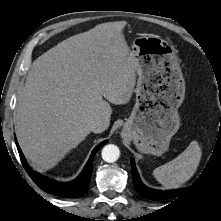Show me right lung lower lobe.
<instances>
[{
    "label": "right lung lower lobe",
    "mask_w": 221,
    "mask_h": 221,
    "mask_svg": "<svg viewBox=\"0 0 221 221\" xmlns=\"http://www.w3.org/2000/svg\"><path fill=\"white\" fill-rule=\"evenodd\" d=\"M108 141L105 140L104 142L100 143L93 151L92 154L82 171V173L79 175L77 179H75L72 182L62 183V182H56L47 178L42 177L40 174L34 172L26 163L25 158L17 145V149L21 158V161L23 163V166L29 176L32 178V180L45 192L57 195L64 198H77L81 194L85 192V190L88 188L90 183V177L93 170V158L96 154V152L107 143Z\"/></svg>",
    "instance_id": "1"
}]
</instances>
